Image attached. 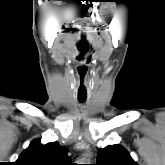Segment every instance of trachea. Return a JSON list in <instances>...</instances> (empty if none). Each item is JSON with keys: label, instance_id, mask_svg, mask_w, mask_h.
Returning <instances> with one entry per match:
<instances>
[{"label": "trachea", "instance_id": "trachea-1", "mask_svg": "<svg viewBox=\"0 0 165 165\" xmlns=\"http://www.w3.org/2000/svg\"><path fill=\"white\" fill-rule=\"evenodd\" d=\"M78 100H79V102H84L85 98H79Z\"/></svg>", "mask_w": 165, "mask_h": 165}]
</instances>
